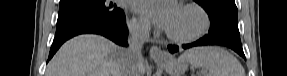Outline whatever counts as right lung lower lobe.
Returning a JSON list of instances; mask_svg holds the SVG:
<instances>
[{"mask_svg":"<svg viewBox=\"0 0 287 76\" xmlns=\"http://www.w3.org/2000/svg\"><path fill=\"white\" fill-rule=\"evenodd\" d=\"M95 33L103 35L115 43L127 46L128 30L125 22V15L118 21L102 25H84L67 32L56 35L50 49L48 61L53 57L59 47L68 39L78 34Z\"/></svg>","mask_w":287,"mask_h":76,"instance_id":"obj_1","label":"right lung lower lobe"}]
</instances>
